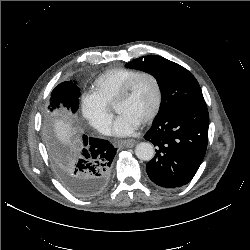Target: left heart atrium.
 Returning a JSON list of instances; mask_svg holds the SVG:
<instances>
[{
  "instance_id": "obj_1",
  "label": "left heart atrium",
  "mask_w": 250,
  "mask_h": 250,
  "mask_svg": "<svg viewBox=\"0 0 250 250\" xmlns=\"http://www.w3.org/2000/svg\"><path fill=\"white\" fill-rule=\"evenodd\" d=\"M139 126V123L125 114H120L113 126V132L118 136L132 134Z\"/></svg>"
}]
</instances>
